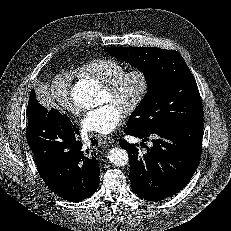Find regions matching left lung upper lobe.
Segmentation results:
<instances>
[{
    "label": "left lung upper lobe",
    "instance_id": "5c2ea615",
    "mask_svg": "<svg viewBox=\"0 0 231 231\" xmlns=\"http://www.w3.org/2000/svg\"><path fill=\"white\" fill-rule=\"evenodd\" d=\"M107 52L135 65L148 81L149 90L126 128L145 132L203 121L196 81L178 52L156 47H108Z\"/></svg>",
    "mask_w": 231,
    "mask_h": 231
}]
</instances>
